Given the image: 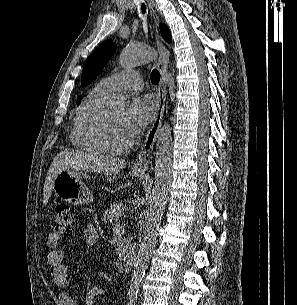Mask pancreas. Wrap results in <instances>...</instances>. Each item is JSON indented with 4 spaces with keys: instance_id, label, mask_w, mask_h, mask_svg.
Listing matches in <instances>:
<instances>
[{
    "instance_id": "obj_1",
    "label": "pancreas",
    "mask_w": 297,
    "mask_h": 305,
    "mask_svg": "<svg viewBox=\"0 0 297 305\" xmlns=\"http://www.w3.org/2000/svg\"><path fill=\"white\" fill-rule=\"evenodd\" d=\"M123 210H124V207H123L122 203L116 202V203H113L110 206V208L104 212L105 222L113 224L114 231H116L120 226L119 219L122 218ZM121 231H123V229H121ZM130 241H131V238L125 239L124 242H125L126 247L129 245Z\"/></svg>"
}]
</instances>
